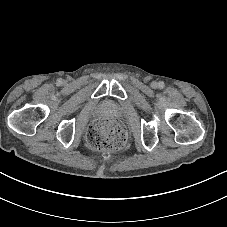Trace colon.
Instances as JSON below:
<instances>
[{
  "instance_id": "obj_1",
  "label": "colon",
  "mask_w": 227,
  "mask_h": 227,
  "mask_svg": "<svg viewBox=\"0 0 227 227\" xmlns=\"http://www.w3.org/2000/svg\"><path fill=\"white\" fill-rule=\"evenodd\" d=\"M87 144L98 151H114L123 147L126 131L117 122L100 119L91 125L86 134Z\"/></svg>"
}]
</instances>
